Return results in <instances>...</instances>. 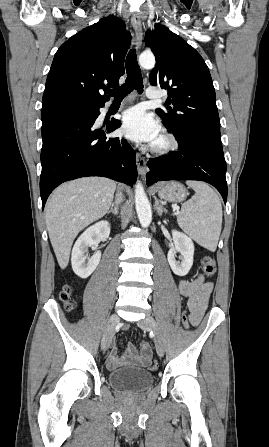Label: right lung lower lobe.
<instances>
[{
	"instance_id": "obj_1",
	"label": "right lung lower lobe",
	"mask_w": 269,
	"mask_h": 447,
	"mask_svg": "<svg viewBox=\"0 0 269 447\" xmlns=\"http://www.w3.org/2000/svg\"><path fill=\"white\" fill-rule=\"evenodd\" d=\"M104 103L85 101L42 109V209L50 193L68 180L103 176L130 186L135 183L134 150L124 139L106 137L120 127V121L108 123L105 130L92 129ZM93 105L99 107L86 108Z\"/></svg>"
}]
</instances>
